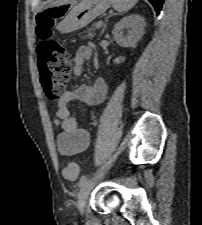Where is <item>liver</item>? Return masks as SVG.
<instances>
[{
  "label": "liver",
  "instance_id": "obj_1",
  "mask_svg": "<svg viewBox=\"0 0 202 225\" xmlns=\"http://www.w3.org/2000/svg\"><path fill=\"white\" fill-rule=\"evenodd\" d=\"M72 0H55L50 6H59L63 4L70 3Z\"/></svg>",
  "mask_w": 202,
  "mask_h": 225
}]
</instances>
